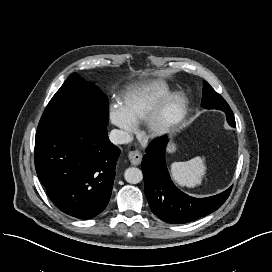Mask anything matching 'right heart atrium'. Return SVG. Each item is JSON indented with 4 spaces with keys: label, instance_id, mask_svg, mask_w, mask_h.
I'll return each instance as SVG.
<instances>
[{
    "label": "right heart atrium",
    "instance_id": "obj_1",
    "mask_svg": "<svg viewBox=\"0 0 272 272\" xmlns=\"http://www.w3.org/2000/svg\"><path fill=\"white\" fill-rule=\"evenodd\" d=\"M109 118L112 124L116 125L122 130L124 137L128 136L134 130V125L125 117L121 107L112 105L109 110Z\"/></svg>",
    "mask_w": 272,
    "mask_h": 272
}]
</instances>
